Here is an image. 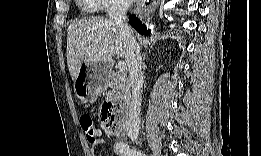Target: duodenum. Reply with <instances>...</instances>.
<instances>
[{
	"instance_id": "duodenum-1",
	"label": "duodenum",
	"mask_w": 261,
	"mask_h": 156,
	"mask_svg": "<svg viewBox=\"0 0 261 156\" xmlns=\"http://www.w3.org/2000/svg\"><path fill=\"white\" fill-rule=\"evenodd\" d=\"M108 103L112 104L113 106L119 107L122 109L123 112L127 111V102L125 100H119L117 98H107ZM130 124L129 121L127 123V128H129Z\"/></svg>"
}]
</instances>
